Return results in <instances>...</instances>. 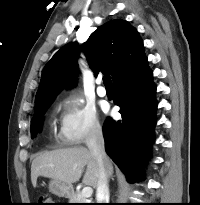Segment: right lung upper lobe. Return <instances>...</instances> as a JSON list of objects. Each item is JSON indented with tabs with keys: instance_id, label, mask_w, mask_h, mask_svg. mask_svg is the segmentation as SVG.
<instances>
[{
	"instance_id": "cb5924a9",
	"label": "right lung upper lobe",
	"mask_w": 200,
	"mask_h": 205,
	"mask_svg": "<svg viewBox=\"0 0 200 205\" xmlns=\"http://www.w3.org/2000/svg\"><path fill=\"white\" fill-rule=\"evenodd\" d=\"M80 50L86 55L95 76L99 72L110 73L113 83L147 59L143 42L135 28L125 20H111L98 27L82 46L69 43L46 64L35 98V112L43 101L54 99L63 87L74 85Z\"/></svg>"
}]
</instances>
